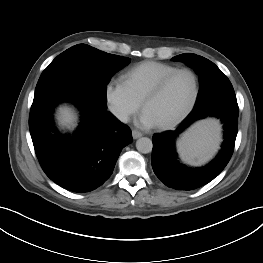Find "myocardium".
Instances as JSON below:
<instances>
[{"label": "myocardium", "instance_id": "f54148a6", "mask_svg": "<svg viewBox=\"0 0 263 263\" xmlns=\"http://www.w3.org/2000/svg\"><path fill=\"white\" fill-rule=\"evenodd\" d=\"M182 73H187L189 74L194 82V92L193 96L191 98V101L189 102L188 106L185 108V110L178 115L175 119H173L170 122L164 123V124H159L157 127L161 130H168L172 129L175 126H177L179 123H181L194 109L198 98L200 94V81L198 75L191 69L189 68H181V69H176L175 71L165 75L163 78H161L155 86L145 95V97L142 100V107L145 109V106L150 102L151 100L155 99L158 97L162 91L165 89L167 84L177 75L182 74Z\"/></svg>", "mask_w": 263, "mask_h": 263}]
</instances>
